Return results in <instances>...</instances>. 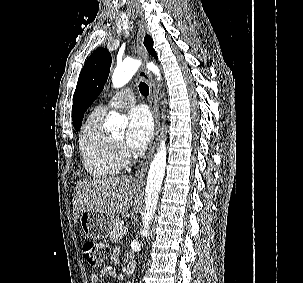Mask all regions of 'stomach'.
Returning <instances> with one entry per match:
<instances>
[{"mask_svg":"<svg viewBox=\"0 0 303 283\" xmlns=\"http://www.w3.org/2000/svg\"><path fill=\"white\" fill-rule=\"evenodd\" d=\"M82 234L87 238L101 240L112 230L113 216L96 211H84L79 216Z\"/></svg>","mask_w":303,"mask_h":283,"instance_id":"obj_1","label":"stomach"}]
</instances>
